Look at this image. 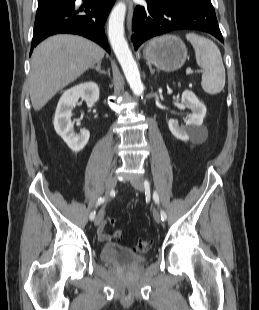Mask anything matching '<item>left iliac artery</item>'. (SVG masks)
<instances>
[{
    "label": "left iliac artery",
    "mask_w": 259,
    "mask_h": 310,
    "mask_svg": "<svg viewBox=\"0 0 259 310\" xmlns=\"http://www.w3.org/2000/svg\"><path fill=\"white\" fill-rule=\"evenodd\" d=\"M144 185H145V187H148L149 186L148 181H145ZM153 199H154L155 203L159 205V196H158L156 191H154V193H153ZM160 215H161L162 221H165L167 219V215H166L164 210L160 211Z\"/></svg>",
    "instance_id": "left-iliac-artery-1"
}]
</instances>
